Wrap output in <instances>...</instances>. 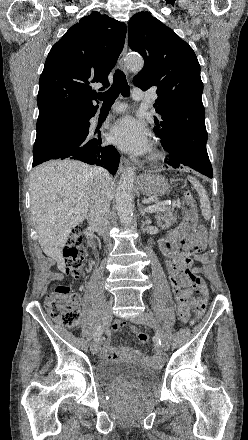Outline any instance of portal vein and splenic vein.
<instances>
[{
    "label": "portal vein and splenic vein",
    "mask_w": 248,
    "mask_h": 440,
    "mask_svg": "<svg viewBox=\"0 0 248 440\" xmlns=\"http://www.w3.org/2000/svg\"><path fill=\"white\" fill-rule=\"evenodd\" d=\"M166 209H167V207H165V205H162L160 203L155 204V205H149L148 207L145 208V210L149 213L163 212Z\"/></svg>",
    "instance_id": "obj_1"
}]
</instances>
